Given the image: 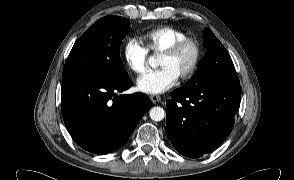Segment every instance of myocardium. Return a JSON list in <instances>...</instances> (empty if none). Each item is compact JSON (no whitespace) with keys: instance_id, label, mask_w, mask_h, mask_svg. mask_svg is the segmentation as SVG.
I'll return each mask as SVG.
<instances>
[{"instance_id":"myocardium-1","label":"myocardium","mask_w":294,"mask_h":180,"mask_svg":"<svg viewBox=\"0 0 294 180\" xmlns=\"http://www.w3.org/2000/svg\"><path fill=\"white\" fill-rule=\"evenodd\" d=\"M187 46L193 49V60L187 71L179 77L182 81L190 79L198 69L202 56L201 46L198 41L193 38L186 37L174 42L168 49L161 53V56L173 57Z\"/></svg>"}]
</instances>
